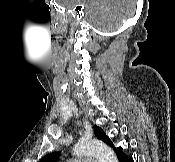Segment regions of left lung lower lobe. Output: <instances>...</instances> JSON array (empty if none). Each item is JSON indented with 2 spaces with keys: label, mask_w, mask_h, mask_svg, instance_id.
Segmentation results:
<instances>
[{
  "label": "left lung lower lobe",
  "mask_w": 175,
  "mask_h": 162,
  "mask_svg": "<svg viewBox=\"0 0 175 162\" xmlns=\"http://www.w3.org/2000/svg\"><path fill=\"white\" fill-rule=\"evenodd\" d=\"M112 147L115 150L120 162H133V158L131 156H128V155L124 154L122 152L121 147L115 148L114 145Z\"/></svg>",
  "instance_id": "obj_1"
}]
</instances>
